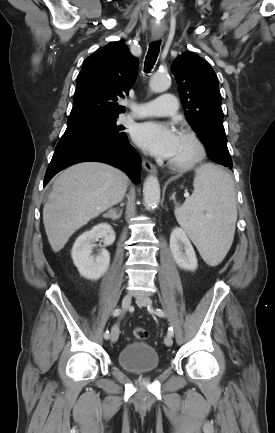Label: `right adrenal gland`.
<instances>
[{
	"label": "right adrenal gland",
	"instance_id": "1",
	"mask_svg": "<svg viewBox=\"0 0 275 433\" xmlns=\"http://www.w3.org/2000/svg\"><path fill=\"white\" fill-rule=\"evenodd\" d=\"M123 205L124 204L121 203V207ZM122 212H123L122 209L119 212H117V210H115L114 208H111L106 214L103 215V217L110 218L113 221H115V220H118L122 216Z\"/></svg>",
	"mask_w": 275,
	"mask_h": 433
}]
</instances>
